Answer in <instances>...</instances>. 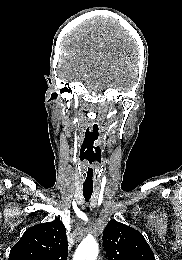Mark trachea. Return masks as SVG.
<instances>
[{
    "label": "trachea",
    "mask_w": 182,
    "mask_h": 260,
    "mask_svg": "<svg viewBox=\"0 0 182 260\" xmlns=\"http://www.w3.org/2000/svg\"><path fill=\"white\" fill-rule=\"evenodd\" d=\"M92 193H93V187H83V195L86 202L90 200Z\"/></svg>",
    "instance_id": "trachea-1"
}]
</instances>
